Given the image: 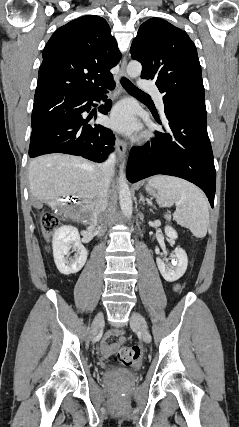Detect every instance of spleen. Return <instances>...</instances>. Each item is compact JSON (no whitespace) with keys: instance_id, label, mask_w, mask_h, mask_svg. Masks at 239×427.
<instances>
[{"instance_id":"3e777b00","label":"spleen","mask_w":239,"mask_h":427,"mask_svg":"<svg viewBox=\"0 0 239 427\" xmlns=\"http://www.w3.org/2000/svg\"><path fill=\"white\" fill-rule=\"evenodd\" d=\"M149 185L157 189L156 199L161 207L175 204V221L188 228L197 238L207 234L209 224L208 201L204 193L195 185L180 178L157 175L149 180Z\"/></svg>"}]
</instances>
